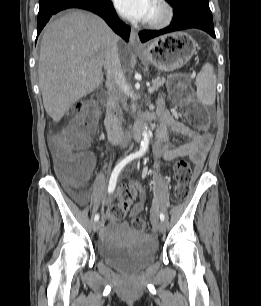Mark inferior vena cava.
Here are the masks:
<instances>
[{"instance_id":"obj_1","label":"inferior vena cava","mask_w":261,"mask_h":306,"mask_svg":"<svg viewBox=\"0 0 261 306\" xmlns=\"http://www.w3.org/2000/svg\"><path fill=\"white\" fill-rule=\"evenodd\" d=\"M104 68L106 70V86L111 92L116 104L121 105L126 100V79L121 68L117 46L113 47L108 53ZM129 129H131V126H129ZM126 143H131L130 130L125 131V145Z\"/></svg>"}]
</instances>
